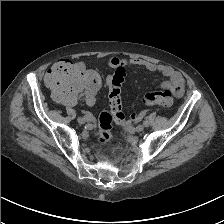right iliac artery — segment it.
<instances>
[{
	"mask_svg": "<svg viewBox=\"0 0 224 224\" xmlns=\"http://www.w3.org/2000/svg\"><path fill=\"white\" fill-rule=\"evenodd\" d=\"M84 118H85V120L88 121V122H91V121L93 120V117H92L91 115H89V114H86V115L84 116Z\"/></svg>",
	"mask_w": 224,
	"mask_h": 224,
	"instance_id": "1",
	"label": "right iliac artery"
}]
</instances>
